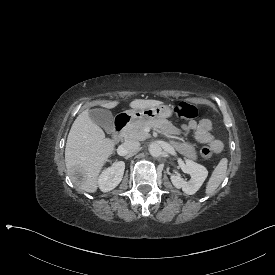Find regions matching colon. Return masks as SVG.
<instances>
[{
    "label": "colon",
    "instance_id": "colon-1",
    "mask_svg": "<svg viewBox=\"0 0 275 275\" xmlns=\"http://www.w3.org/2000/svg\"><path fill=\"white\" fill-rule=\"evenodd\" d=\"M200 109L202 113L206 114L210 112L211 108L209 104L205 103L201 105ZM174 113L178 118L194 119L199 113V107L192 103L181 101L174 107ZM199 155L205 159H209L212 156V150L204 146L199 149Z\"/></svg>",
    "mask_w": 275,
    "mask_h": 275
}]
</instances>
